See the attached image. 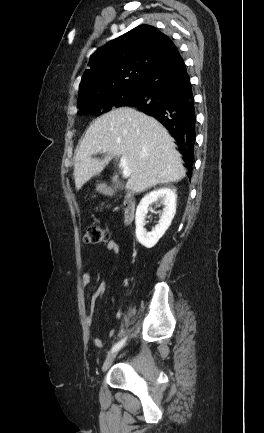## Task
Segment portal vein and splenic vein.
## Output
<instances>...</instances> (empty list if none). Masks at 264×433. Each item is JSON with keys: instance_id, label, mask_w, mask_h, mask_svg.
Instances as JSON below:
<instances>
[{"instance_id": "18ae733b", "label": "portal vein and splenic vein", "mask_w": 264, "mask_h": 433, "mask_svg": "<svg viewBox=\"0 0 264 433\" xmlns=\"http://www.w3.org/2000/svg\"><path fill=\"white\" fill-rule=\"evenodd\" d=\"M119 167L122 169V175L124 178H128L131 174V169L129 167L128 159L127 157H121Z\"/></svg>"}]
</instances>
